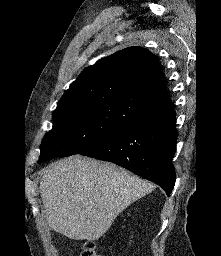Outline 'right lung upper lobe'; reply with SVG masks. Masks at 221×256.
I'll list each match as a JSON object with an SVG mask.
<instances>
[{
    "instance_id": "obj_1",
    "label": "right lung upper lobe",
    "mask_w": 221,
    "mask_h": 256,
    "mask_svg": "<svg viewBox=\"0 0 221 256\" xmlns=\"http://www.w3.org/2000/svg\"><path fill=\"white\" fill-rule=\"evenodd\" d=\"M98 105L119 106L143 120L174 109L159 61L141 47H128L85 68L54 112Z\"/></svg>"
}]
</instances>
